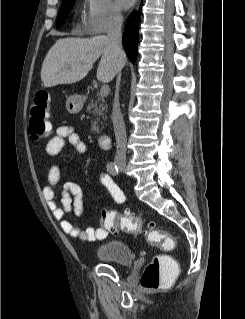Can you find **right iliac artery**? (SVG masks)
Wrapping results in <instances>:
<instances>
[{
  "instance_id": "obj_1",
  "label": "right iliac artery",
  "mask_w": 245,
  "mask_h": 319,
  "mask_svg": "<svg viewBox=\"0 0 245 319\" xmlns=\"http://www.w3.org/2000/svg\"><path fill=\"white\" fill-rule=\"evenodd\" d=\"M107 171H108L111 175H113V176H118V174H119L118 167H117V165H116L115 163H113V162H109V163L107 164ZM117 188H118V187H117ZM118 194L120 195V197H119V198H115V200H116L118 203H121V202L124 201L125 197H124V195H123V192L120 191L119 188H118Z\"/></svg>"
}]
</instances>
